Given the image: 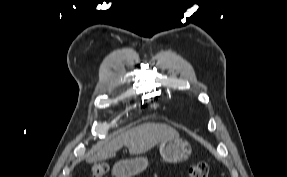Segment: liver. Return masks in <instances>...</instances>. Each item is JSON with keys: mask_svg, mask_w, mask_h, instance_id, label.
<instances>
[{"mask_svg": "<svg viewBox=\"0 0 287 177\" xmlns=\"http://www.w3.org/2000/svg\"><path fill=\"white\" fill-rule=\"evenodd\" d=\"M173 138H179V133L167 124L144 123L113 138L96 152L91 153L87 161L92 163L114 157L123 146L128 148L130 154H142L158 143Z\"/></svg>", "mask_w": 287, "mask_h": 177, "instance_id": "6515ba94", "label": "liver"}]
</instances>
